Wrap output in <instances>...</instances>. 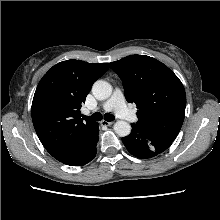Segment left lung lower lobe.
<instances>
[{
  "instance_id": "obj_1",
  "label": "left lung lower lobe",
  "mask_w": 220,
  "mask_h": 220,
  "mask_svg": "<svg viewBox=\"0 0 220 220\" xmlns=\"http://www.w3.org/2000/svg\"><path fill=\"white\" fill-rule=\"evenodd\" d=\"M131 133L122 138L127 150L138 158H151L165 151L173 141L157 137L154 129L131 124Z\"/></svg>"
}]
</instances>
